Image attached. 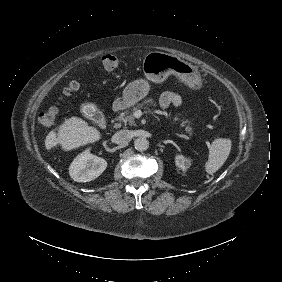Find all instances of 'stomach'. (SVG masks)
I'll list each match as a JSON object with an SVG mask.
<instances>
[{
	"mask_svg": "<svg viewBox=\"0 0 282 282\" xmlns=\"http://www.w3.org/2000/svg\"><path fill=\"white\" fill-rule=\"evenodd\" d=\"M142 69L146 79L135 80L123 90V99L129 106L136 104L148 95L149 81L162 83L170 75L176 76L190 88L199 89L202 86L199 71L176 55L159 51L149 52L143 59Z\"/></svg>",
	"mask_w": 282,
	"mask_h": 282,
	"instance_id": "0dacf381",
	"label": "stomach"
}]
</instances>
